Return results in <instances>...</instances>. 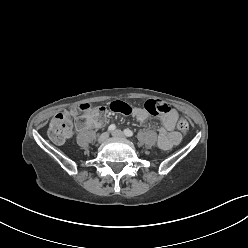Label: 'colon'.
I'll return each mask as SVG.
<instances>
[{
    "label": "colon",
    "instance_id": "obj_1",
    "mask_svg": "<svg viewBox=\"0 0 248 248\" xmlns=\"http://www.w3.org/2000/svg\"><path fill=\"white\" fill-rule=\"evenodd\" d=\"M111 111L123 115L132 113V106L123 101H113L110 103ZM145 110L152 115L165 114L171 111V106L167 103L156 100H147L144 104ZM80 112L91 124L98 125L102 123L104 118L105 108L98 105L83 104L79 109H69L57 114L49 124L48 135L50 139L56 143L64 142L71 134L72 127L70 117L77 112ZM177 128L182 133H187L189 124L184 118H180L177 123Z\"/></svg>",
    "mask_w": 248,
    "mask_h": 248
}]
</instances>
